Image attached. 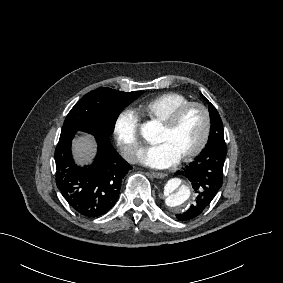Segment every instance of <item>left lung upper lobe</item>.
<instances>
[{"instance_id":"left-lung-upper-lobe-1","label":"left lung upper lobe","mask_w":283,"mask_h":283,"mask_svg":"<svg viewBox=\"0 0 283 283\" xmlns=\"http://www.w3.org/2000/svg\"><path fill=\"white\" fill-rule=\"evenodd\" d=\"M201 96L203 97V95ZM209 112L211 117V132L208 142L224 141L223 124L221 118L216 108L211 103H209Z\"/></svg>"}]
</instances>
